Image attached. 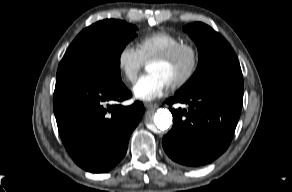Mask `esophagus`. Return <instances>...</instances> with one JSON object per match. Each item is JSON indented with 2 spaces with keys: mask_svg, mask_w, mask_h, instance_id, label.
Returning <instances> with one entry per match:
<instances>
[{
  "mask_svg": "<svg viewBox=\"0 0 292 192\" xmlns=\"http://www.w3.org/2000/svg\"><path fill=\"white\" fill-rule=\"evenodd\" d=\"M144 106L147 108V109H155L158 107V104L157 103H150V102H146L144 103Z\"/></svg>",
  "mask_w": 292,
  "mask_h": 192,
  "instance_id": "esophagus-1",
  "label": "esophagus"
}]
</instances>
